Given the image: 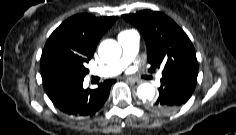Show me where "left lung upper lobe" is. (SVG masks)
I'll return each instance as SVG.
<instances>
[{"mask_svg":"<svg viewBox=\"0 0 236 135\" xmlns=\"http://www.w3.org/2000/svg\"><path fill=\"white\" fill-rule=\"evenodd\" d=\"M122 17L142 33L148 53L149 71L162 74L178 69L198 68L195 49L186 33L161 12L143 10Z\"/></svg>","mask_w":236,"mask_h":135,"instance_id":"5c2ea615","label":"left lung upper lobe"}]
</instances>
